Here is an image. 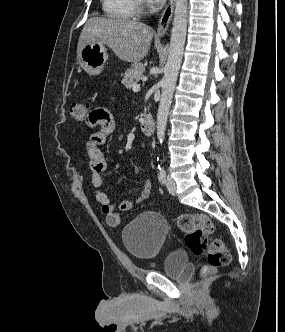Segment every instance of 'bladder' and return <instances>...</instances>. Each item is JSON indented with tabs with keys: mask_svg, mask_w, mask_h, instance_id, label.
Returning <instances> with one entry per match:
<instances>
[{
	"mask_svg": "<svg viewBox=\"0 0 285 332\" xmlns=\"http://www.w3.org/2000/svg\"><path fill=\"white\" fill-rule=\"evenodd\" d=\"M168 233L169 225L166 219L160 213L146 211L127 224L121 238L124 247L133 257L147 260L161 252ZM164 272L169 277L185 279L191 272L187 253L176 251L168 255Z\"/></svg>",
	"mask_w": 285,
	"mask_h": 332,
	"instance_id": "1",
	"label": "bladder"
}]
</instances>
